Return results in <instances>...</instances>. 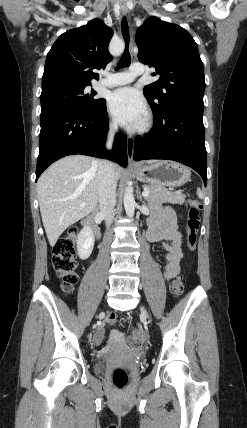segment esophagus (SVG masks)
Instances as JSON below:
<instances>
[{"label": "esophagus", "mask_w": 247, "mask_h": 428, "mask_svg": "<svg viewBox=\"0 0 247 428\" xmlns=\"http://www.w3.org/2000/svg\"><path fill=\"white\" fill-rule=\"evenodd\" d=\"M121 12L123 15H126L128 13V9L126 5H122ZM131 57L133 58V55L131 54ZM127 156H128V162L130 165H134L135 162L133 160L134 156V138L132 136L127 137Z\"/></svg>", "instance_id": "34e87169"}]
</instances>
